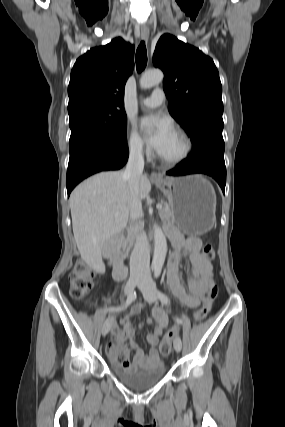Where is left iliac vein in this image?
<instances>
[{
  "label": "left iliac vein",
  "mask_w": 285,
  "mask_h": 427,
  "mask_svg": "<svg viewBox=\"0 0 285 427\" xmlns=\"http://www.w3.org/2000/svg\"><path fill=\"white\" fill-rule=\"evenodd\" d=\"M139 289L143 293L145 300L148 303H154L157 300V290L154 282L149 275L144 276L138 285ZM174 349L180 352L182 349V340L180 337H176L174 340Z\"/></svg>",
  "instance_id": "4c4485c4"
}]
</instances>
